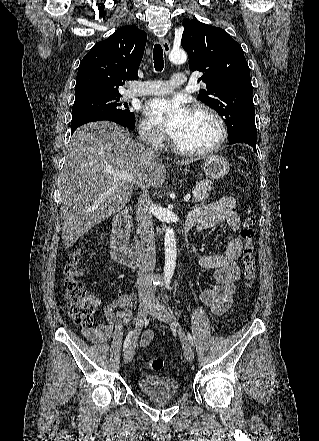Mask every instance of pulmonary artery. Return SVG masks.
Wrapping results in <instances>:
<instances>
[{
  "label": "pulmonary artery",
  "mask_w": 319,
  "mask_h": 441,
  "mask_svg": "<svg viewBox=\"0 0 319 441\" xmlns=\"http://www.w3.org/2000/svg\"><path fill=\"white\" fill-rule=\"evenodd\" d=\"M187 83V78L183 73H177L168 80H155L141 83L127 91L128 97L161 95L172 92L175 88Z\"/></svg>",
  "instance_id": "obj_1"
}]
</instances>
